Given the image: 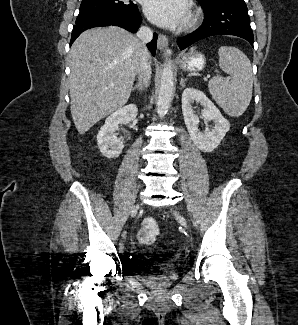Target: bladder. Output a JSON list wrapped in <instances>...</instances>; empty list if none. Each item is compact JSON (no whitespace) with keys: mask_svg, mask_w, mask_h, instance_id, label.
I'll return each mask as SVG.
<instances>
[{"mask_svg":"<svg viewBox=\"0 0 298 325\" xmlns=\"http://www.w3.org/2000/svg\"><path fill=\"white\" fill-rule=\"evenodd\" d=\"M179 277L175 270H169L156 275H147L142 278L144 283L153 290L162 291L173 285Z\"/></svg>","mask_w":298,"mask_h":325,"instance_id":"obj_1","label":"bladder"}]
</instances>
